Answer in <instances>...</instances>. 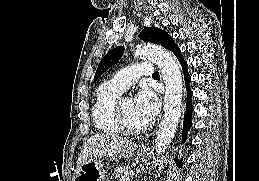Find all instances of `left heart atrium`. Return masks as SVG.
Returning a JSON list of instances; mask_svg holds the SVG:
<instances>
[{
    "instance_id": "left-heart-atrium-1",
    "label": "left heart atrium",
    "mask_w": 259,
    "mask_h": 181,
    "mask_svg": "<svg viewBox=\"0 0 259 181\" xmlns=\"http://www.w3.org/2000/svg\"><path fill=\"white\" fill-rule=\"evenodd\" d=\"M134 103L138 115L146 122L154 119L159 112L160 102L157 95L146 87L139 91Z\"/></svg>"
}]
</instances>
